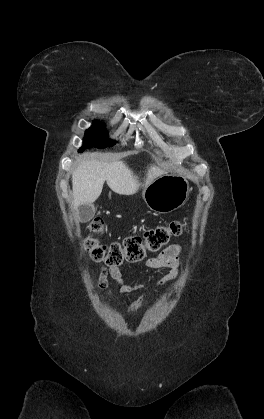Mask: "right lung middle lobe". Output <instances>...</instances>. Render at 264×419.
Returning <instances> with one entry per match:
<instances>
[{
    "label": "right lung middle lobe",
    "instance_id": "right-lung-middle-lobe-1",
    "mask_svg": "<svg viewBox=\"0 0 264 419\" xmlns=\"http://www.w3.org/2000/svg\"><path fill=\"white\" fill-rule=\"evenodd\" d=\"M115 143L108 139L107 132L102 128V124L94 123L85 133L84 145L79 149L83 152L85 148L98 147L105 148L113 146Z\"/></svg>",
    "mask_w": 264,
    "mask_h": 419
}]
</instances>
